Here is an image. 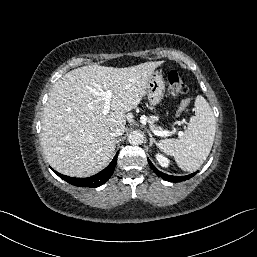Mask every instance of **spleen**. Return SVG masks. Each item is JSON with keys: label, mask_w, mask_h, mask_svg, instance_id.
<instances>
[{"label": "spleen", "mask_w": 257, "mask_h": 257, "mask_svg": "<svg viewBox=\"0 0 257 257\" xmlns=\"http://www.w3.org/2000/svg\"><path fill=\"white\" fill-rule=\"evenodd\" d=\"M216 132V119L208 102L201 95L195 99V116L179 139H165L157 143L167 155L173 156L184 171L200 168L208 157Z\"/></svg>", "instance_id": "obj_1"}]
</instances>
